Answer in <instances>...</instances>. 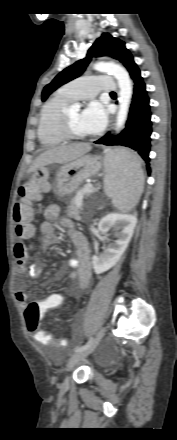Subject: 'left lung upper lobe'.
I'll return each mask as SVG.
<instances>
[{"mask_svg": "<svg viewBox=\"0 0 177 440\" xmlns=\"http://www.w3.org/2000/svg\"><path fill=\"white\" fill-rule=\"evenodd\" d=\"M105 56L118 59L123 63L129 73L137 67L131 53L126 49L125 43L112 37V35L108 33H103L102 36L90 47L87 56L84 59L79 60L64 69L52 80L51 83L45 86L42 92V101H45L53 91L63 84L79 77L91 61V58Z\"/></svg>", "mask_w": 177, "mask_h": 440, "instance_id": "5c2ea615", "label": "left lung upper lobe"}]
</instances>
